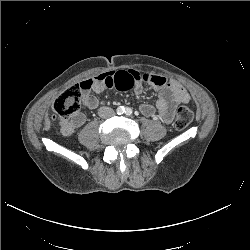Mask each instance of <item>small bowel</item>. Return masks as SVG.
Returning a JSON list of instances; mask_svg holds the SVG:
<instances>
[{"label": "small bowel", "instance_id": "c3829d8e", "mask_svg": "<svg viewBox=\"0 0 250 250\" xmlns=\"http://www.w3.org/2000/svg\"><path fill=\"white\" fill-rule=\"evenodd\" d=\"M143 83L156 89L159 92V96L155 106L141 104V113L149 117L156 116L164 123L171 122L177 106L187 104L190 100L188 92L177 82L157 74H143L133 69L101 73L83 80L79 86L82 90L83 105L87 109L93 110L97 108L99 102L91 92L100 93L105 89H116L119 91L134 89L136 94H140ZM85 121V114L77 112L71 119L60 122V132L63 136H70Z\"/></svg>", "mask_w": 250, "mask_h": 250}]
</instances>
